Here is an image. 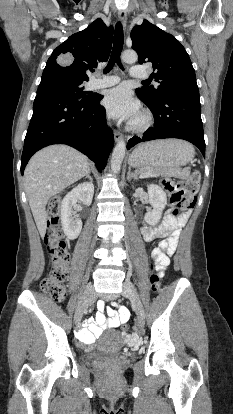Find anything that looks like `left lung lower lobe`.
Returning a JSON list of instances; mask_svg holds the SVG:
<instances>
[{"label": "left lung lower lobe", "instance_id": "obj_1", "mask_svg": "<svg viewBox=\"0 0 233 414\" xmlns=\"http://www.w3.org/2000/svg\"><path fill=\"white\" fill-rule=\"evenodd\" d=\"M137 95L153 113L155 124L142 137L131 138L127 149L144 141L179 138L193 143L205 156L199 92L172 94L166 96L156 106L148 105L138 93Z\"/></svg>", "mask_w": 233, "mask_h": 414}]
</instances>
